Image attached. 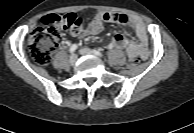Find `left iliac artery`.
<instances>
[{
  "mask_svg": "<svg viewBox=\"0 0 194 133\" xmlns=\"http://www.w3.org/2000/svg\"><path fill=\"white\" fill-rule=\"evenodd\" d=\"M93 52H94L97 56H100V57L103 56V54H102L99 50H93Z\"/></svg>",
  "mask_w": 194,
  "mask_h": 133,
  "instance_id": "obj_1",
  "label": "left iliac artery"
}]
</instances>
